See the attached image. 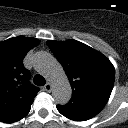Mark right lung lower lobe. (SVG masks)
Wrapping results in <instances>:
<instances>
[{"instance_id": "obj_1", "label": "right lung lower lobe", "mask_w": 128, "mask_h": 128, "mask_svg": "<svg viewBox=\"0 0 128 128\" xmlns=\"http://www.w3.org/2000/svg\"><path fill=\"white\" fill-rule=\"evenodd\" d=\"M32 102L33 101L27 103L24 107H22L15 113L11 114L10 116H7V117L1 119L0 121L5 122V123H13V122H16V121L22 119L29 113Z\"/></svg>"}]
</instances>
